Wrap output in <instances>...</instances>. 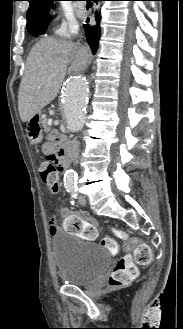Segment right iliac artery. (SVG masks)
Wrapping results in <instances>:
<instances>
[{"mask_svg": "<svg viewBox=\"0 0 183 329\" xmlns=\"http://www.w3.org/2000/svg\"><path fill=\"white\" fill-rule=\"evenodd\" d=\"M69 192H71V191H69ZM72 197H74L73 194H72ZM71 204L74 205V200L73 199L71 201Z\"/></svg>", "mask_w": 183, "mask_h": 329, "instance_id": "obj_1", "label": "right iliac artery"}]
</instances>
